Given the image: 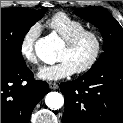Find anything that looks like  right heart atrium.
Instances as JSON below:
<instances>
[{"label": "right heart atrium", "mask_w": 123, "mask_h": 123, "mask_svg": "<svg viewBox=\"0 0 123 123\" xmlns=\"http://www.w3.org/2000/svg\"><path fill=\"white\" fill-rule=\"evenodd\" d=\"M39 33L40 26L38 24L30 25L24 32L19 45V51L23 59L34 65L38 63L34 47Z\"/></svg>", "instance_id": "d8ad5b80"}]
</instances>
